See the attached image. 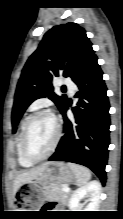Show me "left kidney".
I'll use <instances>...</instances> for the list:
<instances>
[{
  "label": "left kidney",
  "instance_id": "1",
  "mask_svg": "<svg viewBox=\"0 0 123 219\" xmlns=\"http://www.w3.org/2000/svg\"><path fill=\"white\" fill-rule=\"evenodd\" d=\"M100 194L101 184L99 181L93 180L73 192L68 206L72 211H98ZM85 197H89V203L86 207L80 203V200Z\"/></svg>",
  "mask_w": 123,
  "mask_h": 219
}]
</instances>
